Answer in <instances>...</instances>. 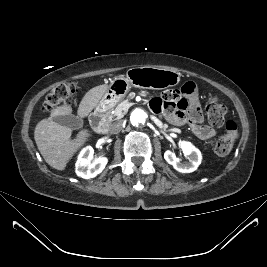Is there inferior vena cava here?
I'll use <instances>...</instances> for the list:
<instances>
[{
  "mask_svg": "<svg viewBox=\"0 0 267 267\" xmlns=\"http://www.w3.org/2000/svg\"><path fill=\"white\" fill-rule=\"evenodd\" d=\"M122 126H123L122 120L116 121L110 126V131L114 134H117L122 130Z\"/></svg>",
  "mask_w": 267,
  "mask_h": 267,
  "instance_id": "inferior-vena-cava-1",
  "label": "inferior vena cava"
}]
</instances>
